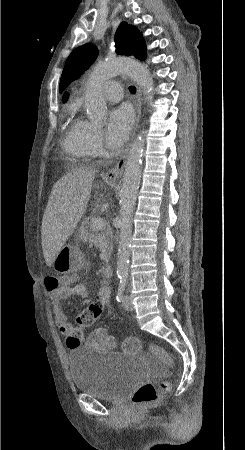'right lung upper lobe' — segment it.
Here are the masks:
<instances>
[{"instance_id":"obj_1","label":"right lung upper lobe","mask_w":245,"mask_h":450,"mask_svg":"<svg viewBox=\"0 0 245 450\" xmlns=\"http://www.w3.org/2000/svg\"><path fill=\"white\" fill-rule=\"evenodd\" d=\"M67 99H68V94L66 93V94L63 96V102H66Z\"/></svg>"}]
</instances>
